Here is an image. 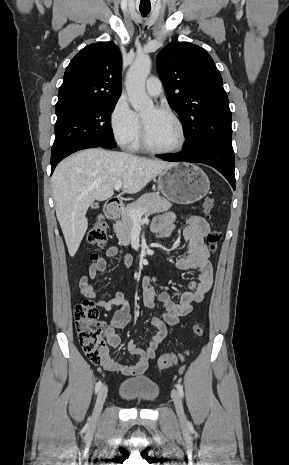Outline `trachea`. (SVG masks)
Masks as SVG:
<instances>
[{
    "instance_id": "obj_1",
    "label": "trachea",
    "mask_w": 289,
    "mask_h": 465,
    "mask_svg": "<svg viewBox=\"0 0 289 465\" xmlns=\"http://www.w3.org/2000/svg\"><path fill=\"white\" fill-rule=\"evenodd\" d=\"M140 12H141L142 16L145 17V16H147L149 14L150 10H142V9H140Z\"/></svg>"
}]
</instances>
